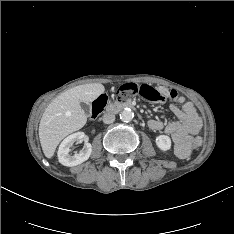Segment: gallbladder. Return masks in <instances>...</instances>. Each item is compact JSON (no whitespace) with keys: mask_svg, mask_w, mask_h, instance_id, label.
I'll return each mask as SVG.
<instances>
[{"mask_svg":"<svg viewBox=\"0 0 234 234\" xmlns=\"http://www.w3.org/2000/svg\"><path fill=\"white\" fill-rule=\"evenodd\" d=\"M80 105L85 113H90V106L88 104L82 102Z\"/></svg>","mask_w":234,"mask_h":234,"instance_id":"obj_1","label":"gallbladder"}]
</instances>
